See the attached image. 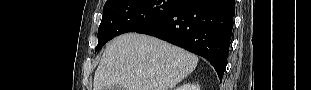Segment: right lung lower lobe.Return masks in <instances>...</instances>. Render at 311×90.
Listing matches in <instances>:
<instances>
[{
	"mask_svg": "<svg viewBox=\"0 0 311 90\" xmlns=\"http://www.w3.org/2000/svg\"><path fill=\"white\" fill-rule=\"evenodd\" d=\"M234 13L235 0H180L167 15L136 32L206 58L222 80Z\"/></svg>",
	"mask_w": 311,
	"mask_h": 90,
	"instance_id": "1",
	"label": "right lung lower lobe"
}]
</instances>
